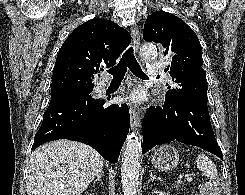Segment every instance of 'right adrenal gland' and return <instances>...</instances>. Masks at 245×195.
<instances>
[{
	"instance_id": "right-adrenal-gland-1",
	"label": "right adrenal gland",
	"mask_w": 245,
	"mask_h": 195,
	"mask_svg": "<svg viewBox=\"0 0 245 195\" xmlns=\"http://www.w3.org/2000/svg\"><path fill=\"white\" fill-rule=\"evenodd\" d=\"M103 173H104L103 170H101L97 175L96 179H93V183H95L96 181L102 182Z\"/></svg>"
}]
</instances>
